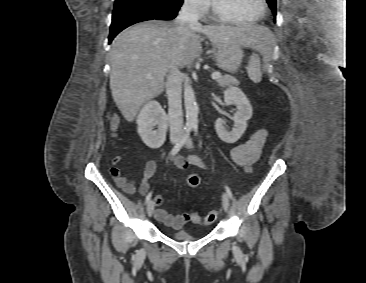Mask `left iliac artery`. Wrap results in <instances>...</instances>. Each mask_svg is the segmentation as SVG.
Here are the masks:
<instances>
[{
    "instance_id": "1",
    "label": "left iliac artery",
    "mask_w": 366,
    "mask_h": 283,
    "mask_svg": "<svg viewBox=\"0 0 366 283\" xmlns=\"http://www.w3.org/2000/svg\"><path fill=\"white\" fill-rule=\"evenodd\" d=\"M193 130H194L195 134H197V132H198V127H197V125H194V126H193ZM225 190H226V192H227V194H228L229 198H232V192H231L230 188H229L228 186H225Z\"/></svg>"
}]
</instances>
